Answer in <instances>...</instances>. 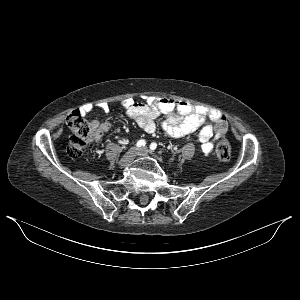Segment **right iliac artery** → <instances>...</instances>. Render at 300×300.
Segmentation results:
<instances>
[{"label":"right iliac artery","instance_id":"1","mask_svg":"<svg viewBox=\"0 0 300 300\" xmlns=\"http://www.w3.org/2000/svg\"><path fill=\"white\" fill-rule=\"evenodd\" d=\"M146 145V141L145 140H139L136 144L137 147H143Z\"/></svg>","mask_w":300,"mask_h":300}]
</instances>
